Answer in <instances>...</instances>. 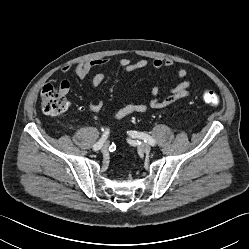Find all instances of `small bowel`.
<instances>
[{
    "instance_id": "1",
    "label": "small bowel",
    "mask_w": 249,
    "mask_h": 249,
    "mask_svg": "<svg viewBox=\"0 0 249 249\" xmlns=\"http://www.w3.org/2000/svg\"><path fill=\"white\" fill-rule=\"evenodd\" d=\"M110 61L108 57H98L86 61L79 62L75 65L74 71L76 75L83 79L86 78L90 72L94 69L101 68L105 66ZM119 64L123 71L126 73H131L137 70L144 69L148 66H152L155 70L160 71L162 69H170L175 65L172 59H160L155 58L152 61L142 58L135 61L129 58H121ZM72 69L71 65H65L62 67L64 73H68ZM187 69L183 65H178L176 69V79L178 81L177 85L170 88L165 95H161L160 88L158 86H153L151 88L152 98L148 103H131L126 104L119 109H117L112 115L111 119L121 120L123 118L129 117L133 114L144 113L148 110H160L164 109L181 99H184L191 95L192 93V82L187 79ZM106 80V74L103 72L96 73L90 80V88L96 89ZM59 90L62 94L67 95L70 92V83L67 80L60 82ZM102 102L100 100L91 101L88 104V109L92 112H98L102 109Z\"/></svg>"
}]
</instances>
